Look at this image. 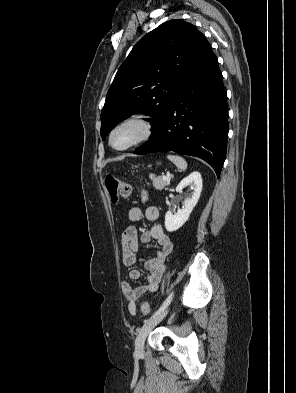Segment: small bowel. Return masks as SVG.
Here are the masks:
<instances>
[{
    "label": "small bowel",
    "mask_w": 296,
    "mask_h": 393,
    "mask_svg": "<svg viewBox=\"0 0 296 393\" xmlns=\"http://www.w3.org/2000/svg\"><path fill=\"white\" fill-rule=\"evenodd\" d=\"M144 216L146 219L154 221L159 217V211L153 206L146 208L145 211L135 206L128 212V218L132 222H138ZM151 240H155L159 248L155 255L145 262V268L149 271L145 283L138 287H133L129 282L122 283V290L128 303L127 307L132 315L136 314L137 300L142 295L154 292L158 289L164 273V263L173 249V243L159 225H154L149 230L142 231L140 235L135 226H129L121 235L122 262L124 265L131 267L129 276L132 279L140 278L139 269L134 267L136 264V251L138 250L139 242L149 243Z\"/></svg>",
    "instance_id": "c3829d8e"
}]
</instances>
